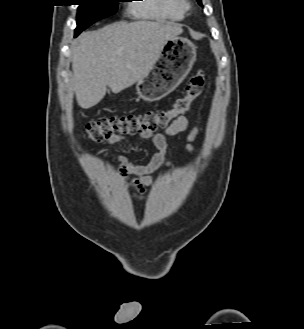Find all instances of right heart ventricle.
Segmentation results:
<instances>
[{"mask_svg": "<svg viewBox=\"0 0 304 329\" xmlns=\"http://www.w3.org/2000/svg\"><path fill=\"white\" fill-rule=\"evenodd\" d=\"M131 11L140 18L181 21L184 18V0H138Z\"/></svg>", "mask_w": 304, "mask_h": 329, "instance_id": "obj_1", "label": "right heart ventricle"}]
</instances>
